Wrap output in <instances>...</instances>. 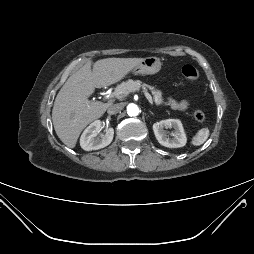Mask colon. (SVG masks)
<instances>
[{"label": "colon", "mask_w": 254, "mask_h": 254, "mask_svg": "<svg viewBox=\"0 0 254 254\" xmlns=\"http://www.w3.org/2000/svg\"><path fill=\"white\" fill-rule=\"evenodd\" d=\"M181 75L184 80L188 82H196L199 78V73L197 69L191 65H185L183 66L181 70ZM194 118L198 122H202L205 119V113L201 109H196L194 111Z\"/></svg>", "instance_id": "obj_1"}]
</instances>
